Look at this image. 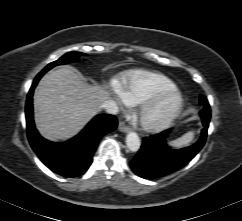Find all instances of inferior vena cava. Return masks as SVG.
Instances as JSON below:
<instances>
[{
    "instance_id": "1",
    "label": "inferior vena cava",
    "mask_w": 242,
    "mask_h": 221,
    "mask_svg": "<svg viewBox=\"0 0 242 221\" xmlns=\"http://www.w3.org/2000/svg\"><path fill=\"white\" fill-rule=\"evenodd\" d=\"M100 107L104 109L108 114L117 115L118 113L117 103L113 100L104 101Z\"/></svg>"
}]
</instances>
